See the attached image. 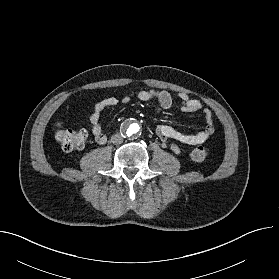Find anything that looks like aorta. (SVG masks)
<instances>
[{
	"instance_id": "1",
	"label": "aorta",
	"mask_w": 279,
	"mask_h": 279,
	"mask_svg": "<svg viewBox=\"0 0 279 279\" xmlns=\"http://www.w3.org/2000/svg\"><path fill=\"white\" fill-rule=\"evenodd\" d=\"M141 126L137 121L129 120L124 124V131L127 136H137L140 133Z\"/></svg>"
}]
</instances>
